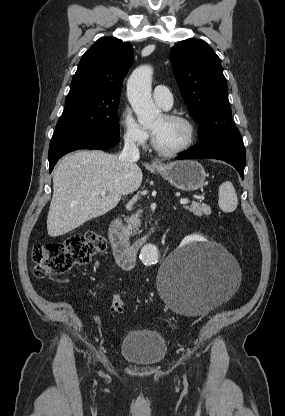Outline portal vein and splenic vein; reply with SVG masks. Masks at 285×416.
Returning <instances> with one entry per match:
<instances>
[{
    "instance_id": "portal-vein-and-splenic-vein-1",
    "label": "portal vein and splenic vein",
    "mask_w": 285,
    "mask_h": 416,
    "mask_svg": "<svg viewBox=\"0 0 285 416\" xmlns=\"http://www.w3.org/2000/svg\"><path fill=\"white\" fill-rule=\"evenodd\" d=\"M94 196H106V192L99 190V192H95ZM180 204H189V200H180Z\"/></svg>"
}]
</instances>
